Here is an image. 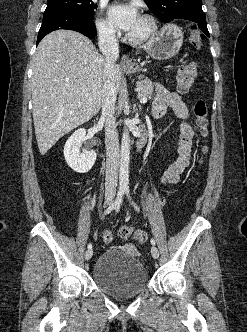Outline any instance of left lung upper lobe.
Here are the masks:
<instances>
[{
    "label": "left lung upper lobe",
    "mask_w": 247,
    "mask_h": 332,
    "mask_svg": "<svg viewBox=\"0 0 247 332\" xmlns=\"http://www.w3.org/2000/svg\"><path fill=\"white\" fill-rule=\"evenodd\" d=\"M148 8L162 21L183 19L204 20L201 0H144Z\"/></svg>",
    "instance_id": "obj_1"
}]
</instances>
